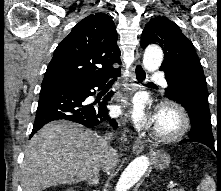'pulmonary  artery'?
Wrapping results in <instances>:
<instances>
[{
	"label": "pulmonary artery",
	"instance_id": "e3ab8cb5",
	"mask_svg": "<svg viewBox=\"0 0 221 191\" xmlns=\"http://www.w3.org/2000/svg\"><path fill=\"white\" fill-rule=\"evenodd\" d=\"M151 79L160 82L163 86L167 85L166 80L164 79V77L160 72H154L151 76Z\"/></svg>",
	"mask_w": 221,
	"mask_h": 191
}]
</instances>
